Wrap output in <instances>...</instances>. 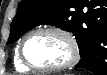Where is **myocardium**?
I'll use <instances>...</instances> for the list:
<instances>
[{"mask_svg":"<svg viewBox=\"0 0 107 75\" xmlns=\"http://www.w3.org/2000/svg\"><path fill=\"white\" fill-rule=\"evenodd\" d=\"M42 32L56 34L67 42V44L69 45V48H70V53H71L68 61H66L63 64L54 65V66H37V65L31 63L26 58L25 45H26L27 41L33 35H35L37 33H42ZM19 58L26 67H28L29 69H32V70L43 71V72L59 71V70H64V69L70 68L78 62V60L80 58V47H79L78 41L75 38V36L70 31L66 30L65 28L60 27V26H55V25L41 26V27L31 30L29 33H27L22 38V40L19 43Z\"/></svg>","mask_w":107,"mask_h":75,"instance_id":"f54148a6","label":"myocardium"}]
</instances>
